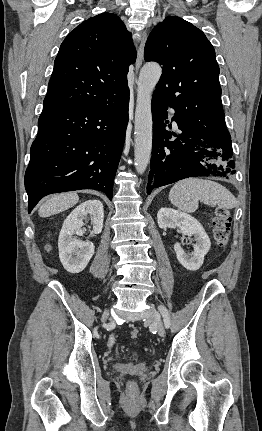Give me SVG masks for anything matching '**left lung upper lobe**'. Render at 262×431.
<instances>
[{
    "instance_id": "left-lung-upper-lobe-1",
    "label": "left lung upper lobe",
    "mask_w": 262,
    "mask_h": 431,
    "mask_svg": "<svg viewBox=\"0 0 262 431\" xmlns=\"http://www.w3.org/2000/svg\"><path fill=\"white\" fill-rule=\"evenodd\" d=\"M144 58L163 65L154 94L175 109L180 123L207 137L228 132L215 50L200 29L180 17L165 18L151 31Z\"/></svg>"
}]
</instances>
